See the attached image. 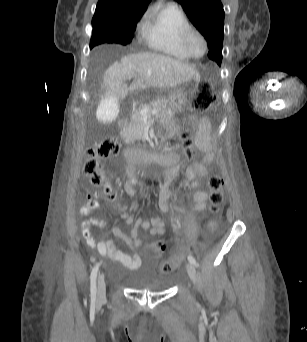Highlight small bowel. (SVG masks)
<instances>
[{
    "mask_svg": "<svg viewBox=\"0 0 307 342\" xmlns=\"http://www.w3.org/2000/svg\"><path fill=\"white\" fill-rule=\"evenodd\" d=\"M189 123L195 129V146L203 153V158L200 161H193L186 169V176L191 187L195 188L193 194V206L192 212H202L207 208L208 193L204 190H199L198 179L199 177H206L210 173V165L215 160V153L213 151L212 136H211V124L205 116H192L189 119ZM174 160V166L172 171L167 176L166 182L163 185L159 196V207L162 211L168 212L171 207L168 204L170 197L169 183L171 179L178 173L181 168L180 156L177 153H171ZM128 180L125 186L126 192L129 194L134 193V186L137 182L135 172L132 168L127 172ZM104 198L102 194L94 193L87 195V201L80 209L81 216H87L92 211L100 207V199ZM122 216L131 226V236L124 235L119 228H113L112 233L122 238L131 249H137L142 246V239L138 238V227L140 226L144 230H149L150 233L166 232L164 222L158 218L153 217L151 221L138 219L134 221L130 213L126 210L122 211ZM91 225H97L105 228L106 223L103 220L90 219L84 221L81 225L82 235L87 244L96 249L101 255L108 256L112 260L119 262L130 269H136L140 265V257L130 256L127 253L120 250L111 239H104L100 242H96L91 234Z\"/></svg>",
    "mask_w": 307,
    "mask_h": 342,
    "instance_id": "1",
    "label": "small bowel"
}]
</instances>
